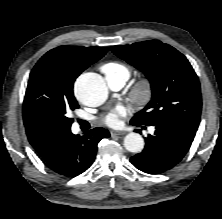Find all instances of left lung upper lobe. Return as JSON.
<instances>
[{"mask_svg": "<svg viewBox=\"0 0 222 219\" xmlns=\"http://www.w3.org/2000/svg\"><path fill=\"white\" fill-rule=\"evenodd\" d=\"M112 52L149 79L152 99L131 122L156 125L177 122L197 131L201 116L198 77L186 57L158 40L112 46Z\"/></svg>", "mask_w": 222, "mask_h": 219, "instance_id": "1", "label": "left lung upper lobe"}]
</instances>
